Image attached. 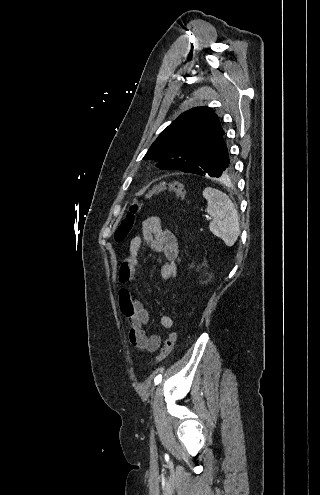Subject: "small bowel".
Segmentation results:
<instances>
[{
    "label": "small bowel",
    "instance_id": "small-bowel-1",
    "mask_svg": "<svg viewBox=\"0 0 320 495\" xmlns=\"http://www.w3.org/2000/svg\"><path fill=\"white\" fill-rule=\"evenodd\" d=\"M143 244L165 257L166 261L160 269L161 277L166 280L174 277L177 273L176 259L179 252L177 238L173 232L162 226L158 217L152 216L143 221L140 232L130 241L129 256L120 266V281L126 282L131 279L140 266V253ZM119 300L122 313L129 323L130 342L139 351L156 352L161 345V337L146 331V327L150 323L149 312L127 290L120 291ZM160 324L169 329L173 327L174 321L170 316L164 315L160 319Z\"/></svg>",
    "mask_w": 320,
    "mask_h": 495
}]
</instances>
